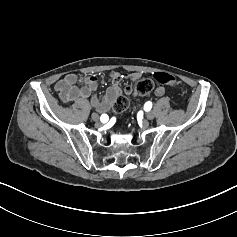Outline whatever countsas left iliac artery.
<instances>
[{"instance_id": "44dca946", "label": "left iliac artery", "mask_w": 237, "mask_h": 237, "mask_svg": "<svg viewBox=\"0 0 237 237\" xmlns=\"http://www.w3.org/2000/svg\"><path fill=\"white\" fill-rule=\"evenodd\" d=\"M152 108V103L150 101L146 102L144 105V109L149 111Z\"/></svg>"}]
</instances>
